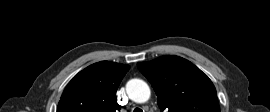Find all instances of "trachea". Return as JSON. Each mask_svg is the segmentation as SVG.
Wrapping results in <instances>:
<instances>
[{"label":"trachea","instance_id":"obj_1","mask_svg":"<svg viewBox=\"0 0 270 112\" xmlns=\"http://www.w3.org/2000/svg\"><path fill=\"white\" fill-rule=\"evenodd\" d=\"M133 112H143V110L140 108H135Z\"/></svg>","mask_w":270,"mask_h":112}]
</instances>
